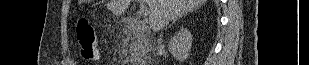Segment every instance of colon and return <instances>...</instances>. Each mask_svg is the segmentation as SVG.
Wrapping results in <instances>:
<instances>
[{
  "instance_id": "1",
  "label": "colon",
  "mask_w": 309,
  "mask_h": 65,
  "mask_svg": "<svg viewBox=\"0 0 309 65\" xmlns=\"http://www.w3.org/2000/svg\"><path fill=\"white\" fill-rule=\"evenodd\" d=\"M76 33L82 57L87 61L98 59L99 47L91 24L87 20H80L76 28Z\"/></svg>"
}]
</instances>
